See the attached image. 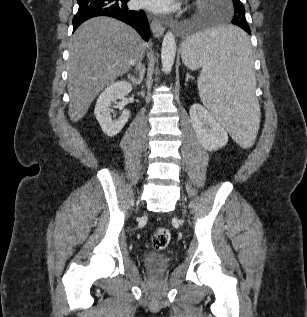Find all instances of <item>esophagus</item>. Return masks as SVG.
Instances as JSON below:
<instances>
[{
	"label": "esophagus",
	"mask_w": 307,
	"mask_h": 317,
	"mask_svg": "<svg viewBox=\"0 0 307 317\" xmlns=\"http://www.w3.org/2000/svg\"><path fill=\"white\" fill-rule=\"evenodd\" d=\"M149 20H150V25H151L153 35L156 38H160L164 33V27L162 23L158 19L153 18L151 16H149Z\"/></svg>",
	"instance_id": "34e87169"
}]
</instances>
